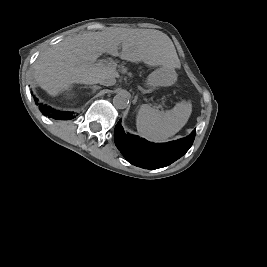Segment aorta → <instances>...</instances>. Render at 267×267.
Returning a JSON list of instances; mask_svg holds the SVG:
<instances>
[{
    "instance_id": "obj_1",
    "label": "aorta",
    "mask_w": 267,
    "mask_h": 267,
    "mask_svg": "<svg viewBox=\"0 0 267 267\" xmlns=\"http://www.w3.org/2000/svg\"><path fill=\"white\" fill-rule=\"evenodd\" d=\"M129 98L125 92H119L113 98V105L117 109H125L128 106Z\"/></svg>"
}]
</instances>
